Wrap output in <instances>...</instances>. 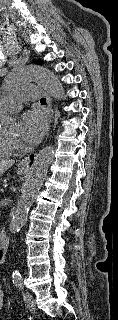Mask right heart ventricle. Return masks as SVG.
<instances>
[{
    "label": "right heart ventricle",
    "mask_w": 118,
    "mask_h": 320,
    "mask_svg": "<svg viewBox=\"0 0 118 320\" xmlns=\"http://www.w3.org/2000/svg\"><path fill=\"white\" fill-rule=\"evenodd\" d=\"M1 115V113H0ZM13 152V145L8 137L0 133V156H8Z\"/></svg>",
    "instance_id": "right-heart-ventricle-1"
}]
</instances>
